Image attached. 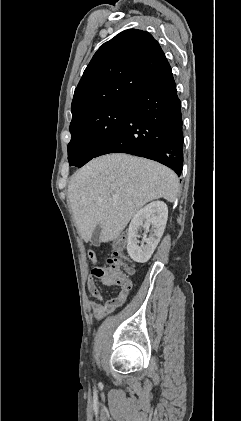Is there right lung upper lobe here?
Listing matches in <instances>:
<instances>
[{"instance_id": "cb5924a9", "label": "right lung upper lobe", "mask_w": 241, "mask_h": 421, "mask_svg": "<svg viewBox=\"0 0 241 421\" xmlns=\"http://www.w3.org/2000/svg\"><path fill=\"white\" fill-rule=\"evenodd\" d=\"M167 58L153 36L125 30L94 54L75 89L72 121L115 102L129 100L166 64Z\"/></svg>"}]
</instances>
